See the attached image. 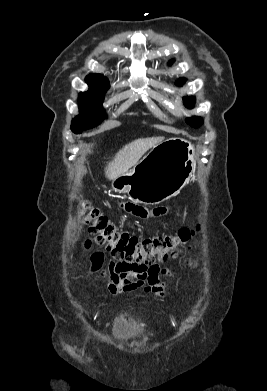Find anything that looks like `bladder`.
I'll return each mask as SVG.
<instances>
[{"label":"bladder","mask_w":267,"mask_h":391,"mask_svg":"<svg viewBox=\"0 0 267 391\" xmlns=\"http://www.w3.org/2000/svg\"><path fill=\"white\" fill-rule=\"evenodd\" d=\"M112 333L120 340H129L139 335L138 328L129 321L126 314H121L115 319Z\"/></svg>","instance_id":"bladder-1"}]
</instances>
